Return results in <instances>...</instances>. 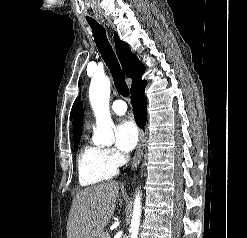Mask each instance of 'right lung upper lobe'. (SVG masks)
<instances>
[{
	"label": "right lung upper lobe",
	"instance_id": "obj_1",
	"mask_svg": "<svg viewBox=\"0 0 247 238\" xmlns=\"http://www.w3.org/2000/svg\"><path fill=\"white\" fill-rule=\"evenodd\" d=\"M114 38H115L117 56L121 62L124 72L127 77L132 78L133 81L131 86V90H132L136 86L144 82L141 80V75L144 73L145 67L137 59V57L131 52L128 45L119 39L116 33L114 35ZM82 123H83V107L80 106L73 121L74 143L80 141V137L82 133Z\"/></svg>",
	"mask_w": 247,
	"mask_h": 238
}]
</instances>
